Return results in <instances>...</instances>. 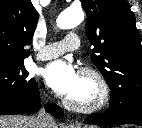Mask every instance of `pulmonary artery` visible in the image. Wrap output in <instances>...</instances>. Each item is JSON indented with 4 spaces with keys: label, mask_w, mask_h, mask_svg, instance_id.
I'll return each instance as SVG.
<instances>
[{
    "label": "pulmonary artery",
    "mask_w": 142,
    "mask_h": 128,
    "mask_svg": "<svg viewBox=\"0 0 142 128\" xmlns=\"http://www.w3.org/2000/svg\"><path fill=\"white\" fill-rule=\"evenodd\" d=\"M80 47V39L77 34L69 33L59 42L51 43L43 47L37 54L38 60L56 58L65 52L75 51Z\"/></svg>",
    "instance_id": "pulmonary-artery-1"
}]
</instances>
